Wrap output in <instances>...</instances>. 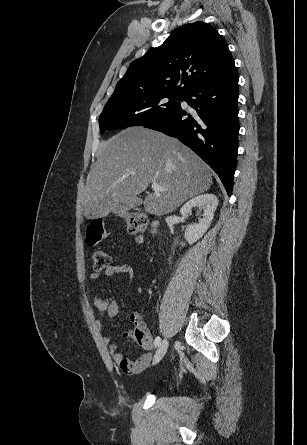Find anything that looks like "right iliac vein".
I'll return each instance as SVG.
<instances>
[{
  "label": "right iliac vein",
  "mask_w": 307,
  "mask_h": 445,
  "mask_svg": "<svg viewBox=\"0 0 307 445\" xmlns=\"http://www.w3.org/2000/svg\"><path fill=\"white\" fill-rule=\"evenodd\" d=\"M168 344H169V342L167 339H164L159 344V346L155 352L154 358H153V362H152L153 365L157 364L164 357V355L166 354L167 349H168Z\"/></svg>",
  "instance_id": "right-iliac-vein-1"
}]
</instances>
